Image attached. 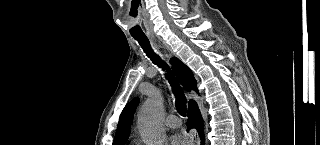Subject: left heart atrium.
<instances>
[{"mask_svg": "<svg viewBox=\"0 0 320 145\" xmlns=\"http://www.w3.org/2000/svg\"><path fill=\"white\" fill-rule=\"evenodd\" d=\"M172 145H186V139L181 135H175L171 139Z\"/></svg>", "mask_w": 320, "mask_h": 145, "instance_id": "obj_1", "label": "left heart atrium"}]
</instances>
